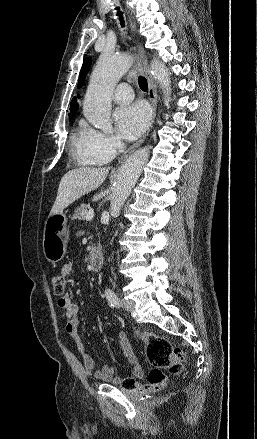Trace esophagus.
<instances>
[{"mask_svg":"<svg viewBox=\"0 0 257 439\" xmlns=\"http://www.w3.org/2000/svg\"><path fill=\"white\" fill-rule=\"evenodd\" d=\"M130 25H131L132 32L134 34V41L136 44L135 49H136L137 54H138V59L143 66V71H144L146 78H147V81H148V96H149V100L151 102L152 109H153V115H152V121H151V124H152L153 120L155 118V115H156L157 90H156V86H155V83L153 81V78L151 76V73H150V69L148 66V61H147V57L145 55L144 49H143L139 39L136 37V34H135L136 24L132 19H130ZM147 134H148V132L145 135H143L136 143H134L131 147H129L124 152V154L119 158V163L124 162L129 157V155L144 142Z\"/></svg>","mask_w":257,"mask_h":439,"instance_id":"obj_1","label":"esophagus"}]
</instances>
